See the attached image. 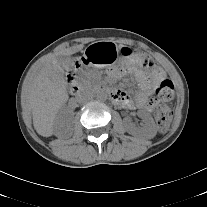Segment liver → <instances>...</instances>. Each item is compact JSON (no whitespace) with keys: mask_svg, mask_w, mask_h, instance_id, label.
Returning a JSON list of instances; mask_svg holds the SVG:
<instances>
[{"mask_svg":"<svg viewBox=\"0 0 207 207\" xmlns=\"http://www.w3.org/2000/svg\"><path fill=\"white\" fill-rule=\"evenodd\" d=\"M83 47L75 45L49 56L29 74L24 84L23 92L32 109L34 128L43 137L53 135L55 118L68 100L64 70L56 58L72 55Z\"/></svg>","mask_w":207,"mask_h":207,"instance_id":"1","label":"liver"}]
</instances>
